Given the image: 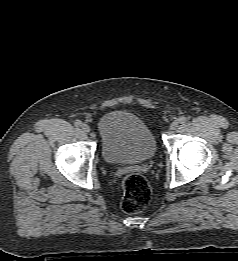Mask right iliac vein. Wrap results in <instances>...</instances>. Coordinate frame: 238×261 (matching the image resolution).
Returning <instances> with one entry per match:
<instances>
[{"mask_svg":"<svg viewBox=\"0 0 238 261\" xmlns=\"http://www.w3.org/2000/svg\"><path fill=\"white\" fill-rule=\"evenodd\" d=\"M81 128H82L83 132H85V133L90 132V127L87 124H82Z\"/></svg>","mask_w":238,"mask_h":261,"instance_id":"1","label":"right iliac vein"}]
</instances>
